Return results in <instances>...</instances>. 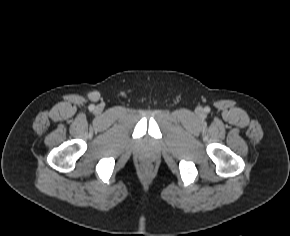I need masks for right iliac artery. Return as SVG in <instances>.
<instances>
[{
  "label": "right iliac artery",
  "mask_w": 290,
  "mask_h": 236,
  "mask_svg": "<svg viewBox=\"0 0 290 236\" xmlns=\"http://www.w3.org/2000/svg\"><path fill=\"white\" fill-rule=\"evenodd\" d=\"M89 109H90V110H93V109H94V105H90V106H89Z\"/></svg>",
  "instance_id": "1"
}]
</instances>
